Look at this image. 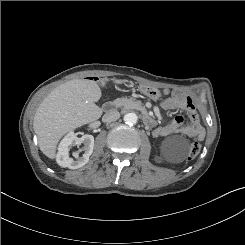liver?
I'll use <instances>...</instances> for the list:
<instances>
[{
    "instance_id": "obj_1",
    "label": "liver",
    "mask_w": 245,
    "mask_h": 245,
    "mask_svg": "<svg viewBox=\"0 0 245 245\" xmlns=\"http://www.w3.org/2000/svg\"><path fill=\"white\" fill-rule=\"evenodd\" d=\"M116 84L126 80L112 79ZM101 85L105 83L101 81ZM96 81L74 79L52 90L36 110L33 129L40 150L49 158L56 157L57 144L68 132L99 119L102 110L95 102L101 98Z\"/></svg>"
}]
</instances>
